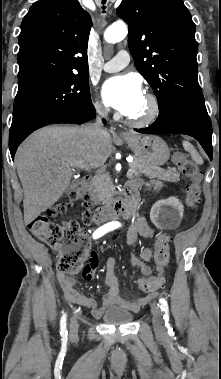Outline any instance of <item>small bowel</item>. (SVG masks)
I'll use <instances>...</instances> for the list:
<instances>
[{
    "label": "small bowel",
    "mask_w": 221,
    "mask_h": 379,
    "mask_svg": "<svg viewBox=\"0 0 221 379\" xmlns=\"http://www.w3.org/2000/svg\"><path fill=\"white\" fill-rule=\"evenodd\" d=\"M137 186L136 183H133ZM160 183H156L155 187H158ZM154 235L153 228L148 224L146 218L140 216L134 223H132L126 233V243L129 247L135 245L139 237L151 238ZM101 255L91 251L88 255V264H83L81 267V274L85 282H96V272L101 270L100 262ZM152 258V250L148 247L143 248L140 255L131 254L129 261L133 266L140 269L141 273L148 276L152 273V268L149 264ZM57 279L63 291L65 300L72 304H77L82 307L91 309L93 316L100 317L104 312L113 305L123 306L130 310L136 311L143 305L149 298H138L129 300L123 298L120 295L119 280L115 271V259L108 257L106 260L105 268V284L107 291L103 296L101 304H98L96 300L89 295L80 293L75 288V279L66 275L63 272L58 271Z\"/></svg>",
    "instance_id": "1"
}]
</instances>
